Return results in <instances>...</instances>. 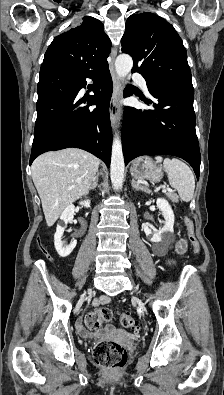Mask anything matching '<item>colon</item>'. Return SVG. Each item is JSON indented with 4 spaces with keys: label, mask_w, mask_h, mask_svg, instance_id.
I'll return each mask as SVG.
<instances>
[{
    "label": "colon",
    "mask_w": 224,
    "mask_h": 395,
    "mask_svg": "<svg viewBox=\"0 0 224 395\" xmlns=\"http://www.w3.org/2000/svg\"><path fill=\"white\" fill-rule=\"evenodd\" d=\"M187 226V236L193 246L194 251H199V243L193 233L192 223L185 218ZM112 312L108 308H97L90 311L86 317V325L91 330H98L104 324L110 322ZM120 323L125 328L131 329L133 332L138 330L137 322L127 313L120 314ZM93 356L95 361L109 369H121L128 359V350L123 345L116 342L99 341L94 345Z\"/></svg>",
    "instance_id": "obj_1"
}]
</instances>
